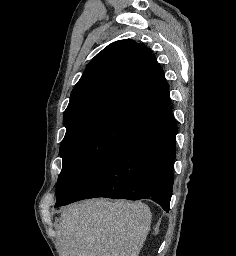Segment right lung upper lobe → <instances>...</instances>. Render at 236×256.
Returning <instances> with one entry per match:
<instances>
[{"label":"right lung upper lobe","instance_id":"cb5924a9","mask_svg":"<svg viewBox=\"0 0 236 256\" xmlns=\"http://www.w3.org/2000/svg\"><path fill=\"white\" fill-rule=\"evenodd\" d=\"M171 111L164 72L151 50L119 40L98 53L73 88L66 128L96 116L125 112L149 123Z\"/></svg>","mask_w":236,"mask_h":256}]
</instances>
